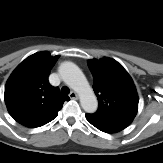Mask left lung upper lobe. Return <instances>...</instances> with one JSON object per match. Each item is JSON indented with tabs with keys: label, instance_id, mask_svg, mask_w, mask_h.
<instances>
[{
	"label": "left lung upper lobe",
	"instance_id": "1",
	"mask_svg": "<svg viewBox=\"0 0 163 163\" xmlns=\"http://www.w3.org/2000/svg\"><path fill=\"white\" fill-rule=\"evenodd\" d=\"M99 107L93 118L132 122L138 110V94L132 78L114 59L88 61Z\"/></svg>",
	"mask_w": 163,
	"mask_h": 163
}]
</instances>
